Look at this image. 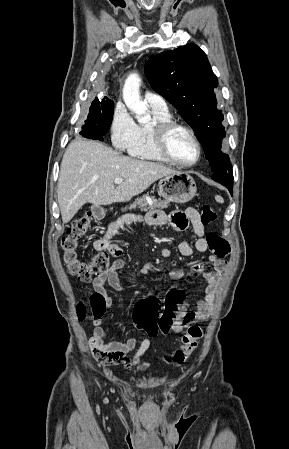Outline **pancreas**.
<instances>
[{
	"mask_svg": "<svg viewBox=\"0 0 289 449\" xmlns=\"http://www.w3.org/2000/svg\"><path fill=\"white\" fill-rule=\"evenodd\" d=\"M151 201V203H149ZM169 206V201L156 199L154 196H149L148 194L137 198L130 206L124 208L122 211L127 209L132 210L139 208L142 211H148L155 208H167Z\"/></svg>",
	"mask_w": 289,
	"mask_h": 449,
	"instance_id": "cf45deb5",
	"label": "pancreas"
}]
</instances>
